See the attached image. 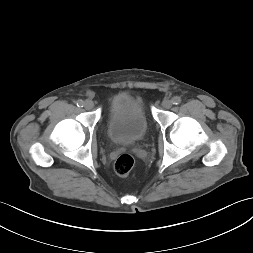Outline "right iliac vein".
<instances>
[{"mask_svg": "<svg viewBox=\"0 0 253 253\" xmlns=\"http://www.w3.org/2000/svg\"><path fill=\"white\" fill-rule=\"evenodd\" d=\"M84 107H85L87 110L92 109V108L94 107L93 101H92V100H89V99L85 100V102H84Z\"/></svg>", "mask_w": 253, "mask_h": 253, "instance_id": "obj_1", "label": "right iliac vein"}]
</instances>
